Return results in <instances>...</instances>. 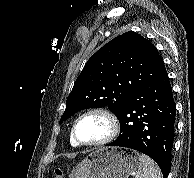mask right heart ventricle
<instances>
[{
    "instance_id": "1",
    "label": "right heart ventricle",
    "mask_w": 194,
    "mask_h": 178,
    "mask_svg": "<svg viewBox=\"0 0 194 178\" xmlns=\"http://www.w3.org/2000/svg\"><path fill=\"white\" fill-rule=\"evenodd\" d=\"M70 144L73 146V147H78V145L73 141V139L70 137Z\"/></svg>"
}]
</instances>
